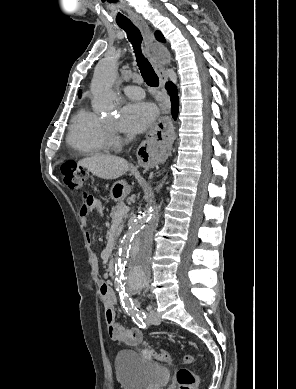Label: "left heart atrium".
I'll return each mask as SVG.
<instances>
[{
	"instance_id": "left-heart-atrium-1",
	"label": "left heart atrium",
	"mask_w": 296,
	"mask_h": 389,
	"mask_svg": "<svg viewBox=\"0 0 296 389\" xmlns=\"http://www.w3.org/2000/svg\"><path fill=\"white\" fill-rule=\"evenodd\" d=\"M156 117L157 109L153 104L132 102L123 108L119 127L125 132L140 134L153 124Z\"/></svg>"
}]
</instances>
